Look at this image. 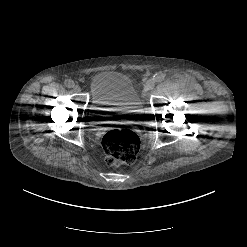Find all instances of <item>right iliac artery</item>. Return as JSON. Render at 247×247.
<instances>
[{
	"instance_id": "obj_1",
	"label": "right iliac artery",
	"mask_w": 247,
	"mask_h": 247,
	"mask_svg": "<svg viewBox=\"0 0 247 247\" xmlns=\"http://www.w3.org/2000/svg\"><path fill=\"white\" fill-rule=\"evenodd\" d=\"M64 84H65V86H66L67 88H72V87H74V85H75V83H74L72 80H70V79L66 80V81L64 82Z\"/></svg>"
}]
</instances>
